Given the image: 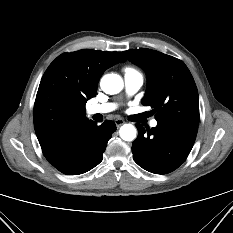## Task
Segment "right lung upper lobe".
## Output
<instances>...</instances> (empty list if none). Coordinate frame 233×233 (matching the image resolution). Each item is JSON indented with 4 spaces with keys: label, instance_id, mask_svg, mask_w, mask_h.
Returning a JSON list of instances; mask_svg holds the SVG:
<instances>
[{
    "label": "right lung upper lobe",
    "instance_id": "cb5924a9",
    "mask_svg": "<svg viewBox=\"0 0 233 233\" xmlns=\"http://www.w3.org/2000/svg\"><path fill=\"white\" fill-rule=\"evenodd\" d=\"M126 59L119 52L83 49L58 56L45 71L34 104V128L41 147L69 137L86 118L85 104L97 93L106 69Z\"/></svg>",
    "mask_w": 233,
    "mask_h": 233
}]
</instances>
